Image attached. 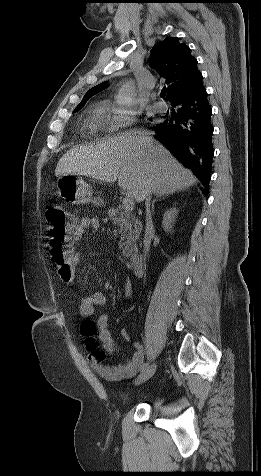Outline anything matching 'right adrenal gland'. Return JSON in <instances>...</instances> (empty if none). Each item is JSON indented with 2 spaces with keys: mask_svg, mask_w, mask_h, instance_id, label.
<instances>
[{
  "mask_svg": "<svg viewBox=\"0 0 261 476\" xmlns=\"http://www.w3.org/2000/svg\"><path fill=\"white\" fill-rule=\"evenodd\" d=\"M167 195H159L152 201V212L154 213V204L158 199H164Z\"/></svg>",
  "mask_w": 261,
  "mask_h": 476,
  "instance_id": "2a0ac1e0",
  "label": "right adrenal gland"
}]
</instances>
